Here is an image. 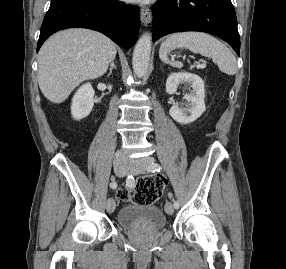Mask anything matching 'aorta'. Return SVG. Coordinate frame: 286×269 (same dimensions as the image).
<instances>
[{
  "instance_id": "762f6f07",
  "label": "aorta",
  "mask_w": 286,
  "mask_h": 269,
  "mask_svg": "<svg viewBox=\"0 0 286 269\" xmlns=\"http://www.w3.org/2000/svg\"><path fill=\"white\" fill-rule=\"evenodd\" d=\"M152 47V38L149 33L141 36L133 52V70L138 77L145 75L148 69Z\"/></svg>"
}]
</instances>
